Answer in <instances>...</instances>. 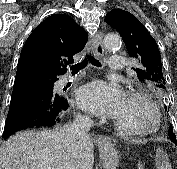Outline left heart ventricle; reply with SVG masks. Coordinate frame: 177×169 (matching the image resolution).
I'll return each instance as SVG.
<instances>
[{"label": "left heart ventricle", "mask_w": 177, "mask_h": 169, "mask_svg": "<svg viewBox=\"0 0 177 169\" xmlns=\"http://www.w3.org/2000/svg\"><path fill=\"white\" fill-rule=\"evenodd\" d=\"M114 119L130 129L146 128L152 123V115L145 104L139 99L126 97Z\"/></svg>", "instance_id": "1"}]
</instances>
